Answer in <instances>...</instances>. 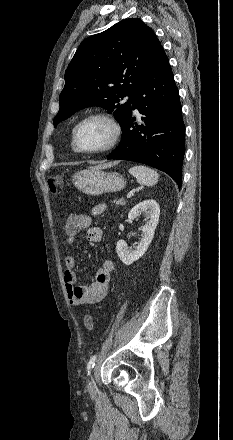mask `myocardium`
<instances>
[{
	"label": "myocardium",
	"mask_w": 233,
	"mask_h": 440,
	"mask_svg": "<svg viewBox=\"0 0 233 440\" xmlns=\"http://www.w3.org/2000/svg\"><path fill=\"white\" fill-rule=\"evenodd\" d=\"M93 119L104 121L111 129V137L108 143L103 147L93 150H86L78 145L77 135L81 125ZM121 136H122V127L117 121V119L109 112L96 111L85 115L75 124L72 130V145L75 151L82 154H102L112 150L118 144Z\"/></svg>",
	"instance_id": "obj_1"
}]
</instances>
